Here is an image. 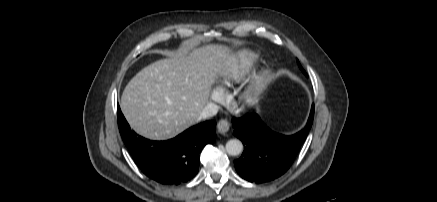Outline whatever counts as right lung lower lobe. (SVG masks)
<instances>
[{"instance_id":"1","label":"right lung lower lobe","mask_w":437,"mask_h":202,"mask_svg":"<svg viewBox=\"0 0 437 202\" xmlns=\"http://www.w3.org/2000/svg\"><path fill=\"white\" fill-rule=\"evenodd\" d=\"M117 111L120 134L135 163L145 175L162 184L178 185L192 179L199 170L201 150L216 138V122L206 121L173 139L151 141L137 137L119 106Z\"/></svg>"}]
</instances>
